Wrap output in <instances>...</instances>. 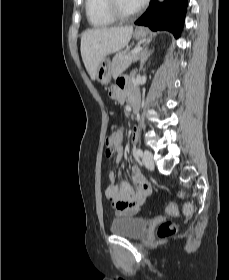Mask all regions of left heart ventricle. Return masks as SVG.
<instances>
[{"instance_id": "obj_1", "label": "left heart ventricle", "mask_w": 229, "mask_h": 280, "mask_svg": "<svg viewBox=\"0 0 229 280\" xmlns=\"http://www.w3.org/2000/svg\"><path fill=\"white\" fill-rule=\"evenodd\" d=\"M119 3L124 12L131 13L137 9L131 0H119Z\"/></svg>"}]
</instances>
